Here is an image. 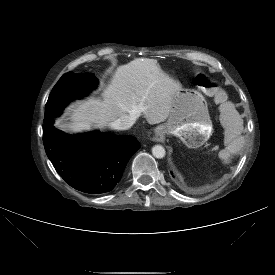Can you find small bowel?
I'll use <instances>...</instances> for the list:
<instances>
[{
	"label": "small bowel",
	"instance_id": "obj_1",
	"mask_svg": "<svg viewBox=\"0 0 275 275\" xmlns=\"http://www.w3.org/2000/svg\"><path fill=\"white\" fill-rule=\"evenodd\" d=\"M222 121L224 123L223 128L226 132V144L227 147L219 152V157L228 162L231 155L240 152L242 148V130L243 122L234 108V105L230 102H226L222 105Z\"/></svg>",
	"mask_w": 275,
	"mask_h": 275
}]
</instances>
